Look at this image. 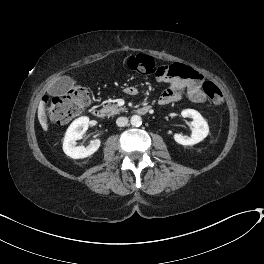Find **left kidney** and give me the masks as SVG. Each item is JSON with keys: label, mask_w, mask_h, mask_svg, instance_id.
Instances as JSON below:
<instances>
[{"label": "left kidney", "mask_w": 264, "mask_h": 264, "mask_svg": "<svg viewBox=\"0 0 264 264\" xmlns=\"http://www.w3.org/2000/svg\"><path fill=\"white\" fill-rule=\"evenodd\" d=\"M183 117L192 118V134L191 136H183L181 134H175L174 140L181 145H194L201 142L207 137L209 133V126L206 120L201 116V114L194 109H185L181 112Z\"/></svg>", "instance_id": "1"}]
</instances>
